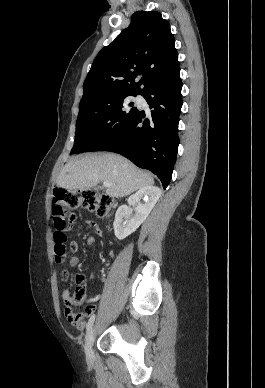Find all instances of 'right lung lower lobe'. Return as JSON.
<instances>
[{
    "label": "right lung lower lobe",
    "instance_id": "98d812e1",
    "mask_svg": "<svg viewBox=\"0 0 265 388\" xmlns=\"http://www.w3.org/2000/svg\"><path fill=\"white\" fill-rule=\"evenodd\" d=\"M179 74L146 88L141 95L151 112L136 110L101 149L119 153L140 168L148 169L169 185L179 144L178 123L182 106Z\"/></svg>",
    "mask_w": 265,
    "mask_h": 388
}]
</instances>
